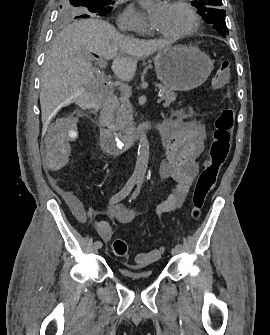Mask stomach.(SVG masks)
<instances>
[{
	"label": "stomach",
	"mask_w": 270,
	"mask_h": 335,
	"mask_svg": "<svg viewBox=\"0 0 270 335\" xmlns=\"http://www.w3.org/2000/svg\"><path fill=\"white\" fill-rule=\"evenodd\" d=\"M158 80L179 92H189L206 82L214 62L195 46H174L160 50L154 58Z\"/></svg>",
	"instance_id": "stomach-1"
}]
</instances>
